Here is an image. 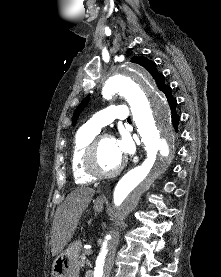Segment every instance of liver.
<instances>
[{
	"instance_id": "1",
	"label": "liver",
	"mask_w": 221,
	"mask_h": 277,
	"mask_svg": "<svg viewBox=\"0 0 221 277\" xmlns=\"http://www.w3.org/2000/svg\"><path fill=\"white\" fill-rule=\"evenodd\" d=\"M95 190L88 187L77 188L66 197L57 208L51 231L52 256L58 255L71 240L78 221L91 202Z\"/></svg>"
}]
</instances>
